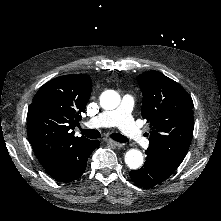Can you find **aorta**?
<instances>
[{
    "label": "aorta",
    "instance_id": "obj_1",
    "mask_svg": "<svg viewBox=\"0 0 221 221\" xmlns=\"http://www.w3.org/2000/svg\"><path fill=\"white\" fill-rule=\"evenodd\" d=\"M120 104V96L115 91L105 92L100 97V105L106 110H112ZM143 154L138 149H130L125 154V163L130 169H138L143 164Z\"/></svg>",
    "mask_w": 221,
    "mask_h": 221
}]
</instances>
